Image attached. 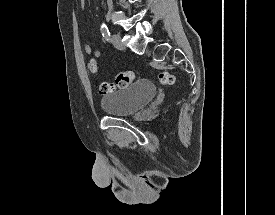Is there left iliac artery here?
Listing matches in <instances>:
<instances>
[{"label": "left iliac artery", "mask_w": 275, "mask_h": 215, "mask_svg": "<svg viewBox=\"0 0 275 215\" xmlns=\"http://www.w3.org/2000/svg\"><path fill=\"white\" fill-rule=\"evenodd\" d=\"M101 33H102V36L107 40L109 41L110 40V32L108 30V27L106 26V24H102L101 25Z\"/></svg>", "instance_id": "left-iliac-artery-1"}]
</instances>
